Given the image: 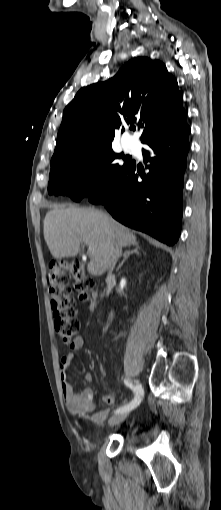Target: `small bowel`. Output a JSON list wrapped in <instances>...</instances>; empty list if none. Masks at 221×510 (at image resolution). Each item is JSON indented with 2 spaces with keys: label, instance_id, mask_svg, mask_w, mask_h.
<instances>
[{
  "label": "small bowel",
  "instance_id": "c3829d8e",
  "mask_svg": "<svg viewBox=\"0 0 221 510\" xmlns=\"http://www.w3.org/2000/svg\"><path fill=\"white\" fill-rule=\"evenodd\" d=\"M83 343V338L81 336L75 337L70 345L71 350L68 351L60 361L61 390L65 406L69 412L78 417L87 419L92 424L99 425L107 419L109 411L101 410L90 416V413L95 408V395L93 389L86 387L80 392H75L73 385L67 376V371L75 359V351L81 349L83 347ZM85 381H91L90 374L85 376ZM103 401L108 405H113L115 403V399L112 396H104Z\"/></svg>",
  "mask_w": 221,
  "mask_h": 510
}]
</instances>
